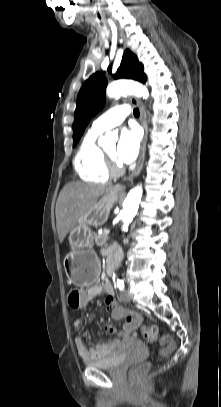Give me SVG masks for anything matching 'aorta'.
I'll use <instances>...</instances> for the list:
<instances>
[{"mask_svg":"<svg viewBox=\"0 0 221 407\" xmlns=\"http://www.w3.org/2000/svg\"><path fill=\"white\" fill-rule=\"evenodd\" d=\"M106 94L110 98H119L122 95L133 94L137 97H143L147 99L149 92L146 86L134 81L120 80L108 85ZM143 189L141 185H137L129 191L127 197L123 202V208L120 212V218L122 219V230L127 231L129 224L132 222L136 215L139 204L141 201Z\"/></svg>","mask_w":221,"mask_h":407,"instance_id":"762f6f07","label":"aorta"}]
</instances>
